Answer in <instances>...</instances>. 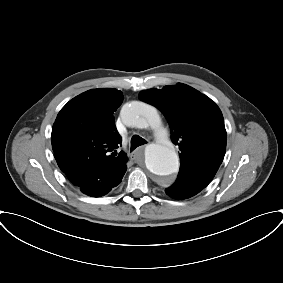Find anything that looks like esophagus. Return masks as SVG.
<instances>
[{
    "label": "esophagus",
    "mask_w": 283,
    "mask_h": 283,
    "mask_svg": "<svg viewBox=\"0 0 283 283\" xmlns=\"http://www.w3.org/2000/svg\"><path fill=\"white\" fill-rule=\"evenodd\" d=\"M144 147H145V145H144V146L139 147L137 150H135V151L131 154V158H132V160H134V161H138V159H139V155H140V153H142V152H143Z\"/></svg>",
    "instance_id": "esophagus-1"
}]
</instances>
